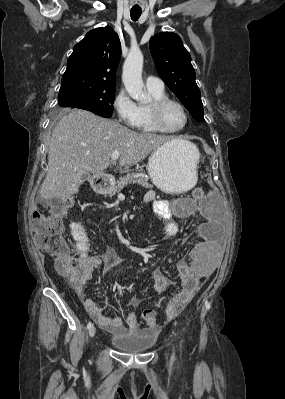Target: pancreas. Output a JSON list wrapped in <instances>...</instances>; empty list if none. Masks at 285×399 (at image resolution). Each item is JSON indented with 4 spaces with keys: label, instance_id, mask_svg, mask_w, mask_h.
Here are the masks:
<instances>
[{
    "label": "pancreas",
    "instance_id": "pancreas-1",
    "mask_svg": "<svg viewBox=\"0 0 285 399\" xmlns=\"http://www.w3.org/2000/svg\"><path fill=\"white\" fill-rule=\"evenodd\" d=\"M135 183H137L147 189L152 187L148 183V177L145 176L144 174L136 173V172H131V173L127 172V174L125 176L121 177L119 181H117L116 183H113L109 186L108 190L106 191V194L109 197H113L115 194L119 193L128 184H135Z\"/></svg>",
    "mask_w": 285,
    "mask_h": 399
}]
</instances>
